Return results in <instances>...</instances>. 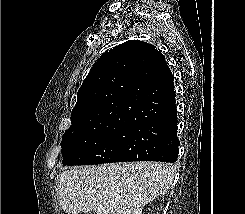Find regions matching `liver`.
Segmentation results:
<instances>
[{"mask_svg":"<svg viewBox=\"0 0 245 214\" xmlns=\"http://www.w3.org/2000/svg\"><path fill=\"white\" fill-rule=\"evenodd\" d=\"M176 169L167 163H111L66 170L59 176L58 202L68 214H142L171 187Z\"/></svg>","mask_w":245,"mask_h":214,"instance_id":"obj_1","label":"liver"}]
</instances>
